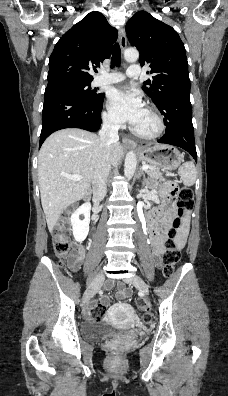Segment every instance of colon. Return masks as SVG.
<instances>
[{
  "instance_id": "1",
  "label": "colon",
  "mask_w": 228,
  "mask_h": 396,
  "mask_svg": "<svg viewBox=\"0 0 228 396\" xmlns=\"http://www.w3.org/2000/svg\"><path fill=\"white\" fill-rule=\"evenodd\" d=\"M169 195L172 198H177L178 215L174 219L173 228L169 231L168 238L165 242V251L162 255L163 270L166 276H170L174 270L175 265L180 259V251L177 244V236L179 229L183 226L184 217L188 210L193 206V193L187 187H180L177 183L169 181L167 183ZM69 223L63 217L54 226L53 234V248L55 254L60 258V265H63L66 260L71 258L70 254V240H69ZM137 307L140 311L144 312L143 321L149 323L152 316L147 312L148 306L144 300L137 302ZM105 314V309L100 304H94L91 307V316L93 319L98 320Z\"/></svg>"
}]
</instances>
